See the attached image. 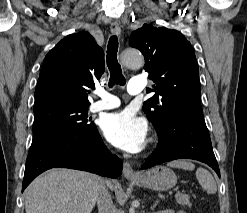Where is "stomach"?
<instances>
[{
    "label": "stomach",
    "mask_w": 247,
    "mask_h": 213,
    "mask_svg": "<svg viewBox=\"0 0 247 213\" xmlns=\"http://www.w3.org/2000/svg\"><path fill=\"white\" fill-rule=\"evenodd\" d=\"M131 182L139 187L165 191L176 185L177 176L165 166H156L141 173L137 179L131 180Z\"/></svg>",
    "instance_id": "obj_1"
}]
</instances>
